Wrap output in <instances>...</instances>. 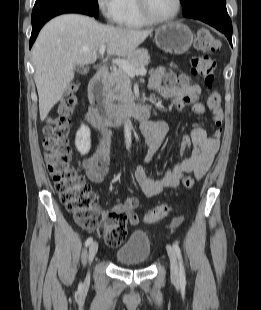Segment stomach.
Returning <instances> with one entry per match:
<instances>
[{
	"label": "stomach",
	"instance_id": "stomach-1",
	"mask_svg": "<svg viewBox=\"0 0 261 310\" xmlns=\"http://www.w3.org/2000/svg\"><path fill=\"white\" fill-rule=\"evenodd\" d=\"M193 42L191 29L179 22L165 24L155 31L156 45L166 53L183 54Z\"/></svg>",
	"mask_w": 261,
	"mask_h": 310
}]
</instances>
